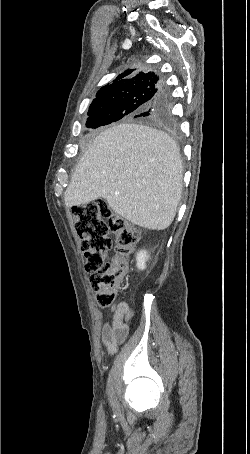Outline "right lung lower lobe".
<instances>
[{
  "instance_id": "obj_1",
  "label": "right lung lower lobe",
  "mask_w": 250,
  "mask_h": 454,
  "mask_svg": "<svg viewBox=\"0 0 250 454\" xmlns=\"http://www.w3.org/2000/svg\"><path fill=\"white\" fill-rule=\"evenodd\" d=\"M172 99L167 90L161 88L158 96L154 99L149 109L144 114L154 115L157 118L171 120Z\"/></svg>"
}]
</instances>
